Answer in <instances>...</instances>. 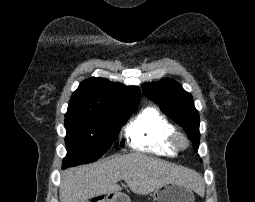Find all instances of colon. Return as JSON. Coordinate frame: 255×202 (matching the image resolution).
Here are the masks:
<instances>
[{
  "label": "colon",
  "mask_w": 255,
  "mask_h": 202,
  "mask_svg": "<svg viewBox=\"0 0 255 202\" xmlns=\"http://www.w3.org/2000/svg\"><path fill=\"white\" fill-rule=\"evenodd\" d=\"M92 202H101V200L97 198V199H94Z\"/></svg>",
  "instance_id": "5ec220e1"
}]
</instances>
